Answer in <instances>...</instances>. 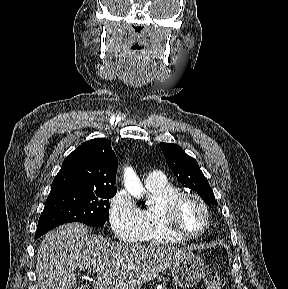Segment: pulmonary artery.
<instances>
[{
	"mask_svg": "<svg viewBox=\"0 0 288 289\" xmlns=\"http://www.w3.org/2000/svg\"><path fill=\"white\" fill-rule=\"evenodd\" d=\"M166 180L165 175L161 171H152L147 174L144 182L148 185H159L164 183Z\"/></svg>",
	"mask_w": 288,
	"mask_h": 289,
	"instance_id": "e3ab8cb5",
	"label": "pulmonary artery"
}]
</instances>
